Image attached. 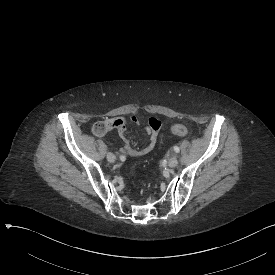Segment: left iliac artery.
I'll list each match as a JSON object with an SVG mask.
<instances>
[{
    "label": "left iliac artery",
    "instance_id": "left-iliac-artery-1",
    "mask_svg": "<svg viewBox=\"0 0 275 275\" xmlns=\"http://www.w3.org/2000/svg\"><path fill=\"white\" fill-rule=\"evenodd\" d=\"M174 151L176 152V153H179V147L178 146H174Z\"/></svg>",
    "mask_w": 275,
    "mask_h": 275
}]
</instances>
